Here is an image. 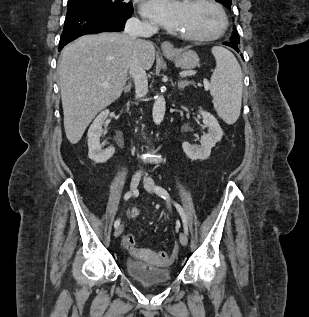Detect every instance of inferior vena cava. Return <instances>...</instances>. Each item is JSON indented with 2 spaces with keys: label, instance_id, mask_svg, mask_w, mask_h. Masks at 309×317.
I'll return each instance as SVG.
<instances>
[{
  "label": "inferior vena cava",
  "instance_id": "inferior-vena-cava-1",
  "mask_svg": "<svg viewBox=\"0 0 309 317\" xmlns=\"http://www.w3.org/2000/svg\"><path fill=\"white\" fill-rule=\"evenodd\" d=\"M158 28L150 23L141 22L136 18L127 20L125 24V33L134 43V52L132 62L129 68L130 76L135 84V97H144L148 92V81L145 69L141 60V39L139 37H151Z\"/></svg>",
  "mask_w": 309,
  "mask_h": 317
}]
</instances>
